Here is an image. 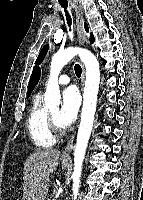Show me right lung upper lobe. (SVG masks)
I'll list each match as a JSON object with an SVG mask.
<instances>
[{"instance_id":"1","label":"right lung upper lobe","mask_w":143,"mask_h":200,"mask_svg":"<svg viewBox=\"0 0 143 200\" xmlns=\"http://www.w3.org/2000/svg\"><path fill=\"white\" fill-rule=\"evenodd\" d=\"M85 30L88 31V27L86 25V23L84 24ZM40 78V68L35 66L33 69V72L31 74L30 77V82H29V88H28V92H27V97L30 96L31 92L33 91L34 87L36 86V84L38 83Z\"/></svg>"}]
</instances>
